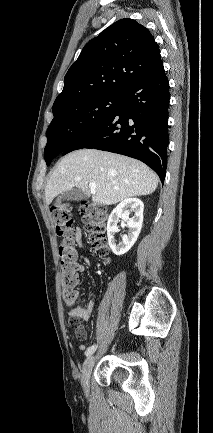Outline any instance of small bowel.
Instances as JSON below:
<instances>
[{
  "mask_svg": "<svg viewBox=\"0 0 213 433\" xmlns=\"http://www.w3.org/2000/svg\"><path fill=\"white\" fill-rule=\"evenodd\" d=\"M74 240L78 244L80 248L84 247L83 241H82V231L80 228H77L74 233ZM90 260L84 259L83 262H76V274L78 272H82L84 270L85 265H89ZM78 278V276H77ZM78 280V279H77ZM95 306V302L93 298H89L88 301L85 303V305H79L75 306L70 309L69 315L73 318H77L79 320L88 321L91 318L93 309ZM86 331L83 329V334L81 338H85ZM79 350H85L86 346L84 344H80L78 346Z\"/></svg>",
  "mask_w": 213,
  "mask_h": 433,
  "instance_id": "c3829d8e",
  "label": "small bowel"
}]
</instances>
